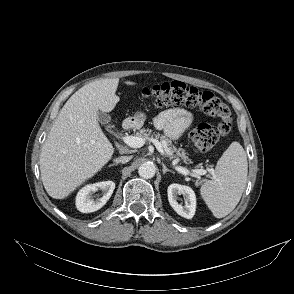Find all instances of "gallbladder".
Masks as SVG:
<instances>
[{"mask_svg":"<svg viewBox=\"0 0 294 294\" xmlns=\"http://www.w3.org/2000/svg\"><path fill=\"white\" fill-rule=\"evenodd\" d=\"M97 118H98V121L102 124H107L111 121V117L101 111L98 112Z\"/></svg>","mask_w":294,"mask_h":294,"instance_id":"obj_1","label":"gallbladder"}]
</instances>
